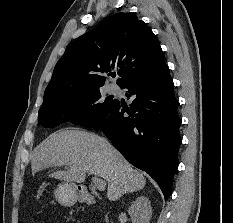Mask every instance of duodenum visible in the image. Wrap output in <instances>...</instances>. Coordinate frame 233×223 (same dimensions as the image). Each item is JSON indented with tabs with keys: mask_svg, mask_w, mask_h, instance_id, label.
<instances>
[{
	"mask_svg": "<svg viewBox=\"0 0 233 223\" xmlns=\"http://www.w3.org/2000/svg\"><path fill=\"white\" fill-rule=\"evenodd\" d=\"M77 198L80 202L86 203L88 205H93L96 200L93 195H91L87 190L82 189L78 191Z\"/></svg>",
	"mask_w": 233,
	"mask_h": 223,
	"instance_id": "obj_1",
	"label": "duodenum"
}]
</instances>
